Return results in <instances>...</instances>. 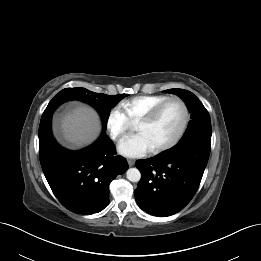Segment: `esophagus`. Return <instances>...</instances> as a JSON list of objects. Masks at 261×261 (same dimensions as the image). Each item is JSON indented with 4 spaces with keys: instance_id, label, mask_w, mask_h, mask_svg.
Here are the masks:
<instances>
[{
    "instance_id": "34e87169",
    "label": "esophagus",
    "mask_w": 261,
    "mask_h": 261,
    "mask_svg": "<svg viewBox=\"0 0 261 261\" xmlns=\"http://www.w3.org/2000/svg\"><path fill=\"white\" fill-rule=\"evenodd\" d=\"M129 166H133L135 164V161L132 159L127 160Z\"/></svg>"
}]
</instances>
